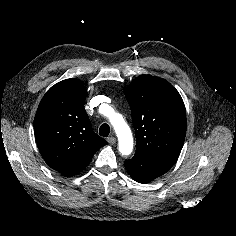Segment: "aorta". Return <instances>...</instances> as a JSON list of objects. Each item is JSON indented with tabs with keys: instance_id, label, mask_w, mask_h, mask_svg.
<instances>
[{
	"instance_id": "1",
	"label": "aorta",
	"mask_w": 236,
	"mask_h": 236,
	"mask_svg": "<svg viewBox=\"0 0 236 236\" xmlns=\"http://www.w3.org/2000/svg\"><path fill=\"white\" fill-rule=\"evenodd\" d=\"M110 122L118 137L120 153L122 155H130L133 150V137L129 126L119 114L111 115Z\"/></svg>"
}]
</instances>
